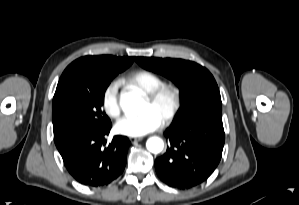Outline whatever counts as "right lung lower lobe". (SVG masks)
Instances as JSON below:
<instances>
[{
    "mask_svg": "<svg viewBox=\"0 0 299 205\" xmlns=\"http://www.w3.org/2000/svg\"><path fill=\"white\" fill-rule=\"evenodd\" d=\"M111 126L79 134L58 149L67 170L79 183L92 187L104 186L122 174L130 141L127 137L115 136L104 149L102 145Z\"/></svg>",
    "mask_w": 299,
    "mask_h": 205,
    "instance_id": "obj_1",
    "label": "right lung lower lobe"
}]
</instances>
